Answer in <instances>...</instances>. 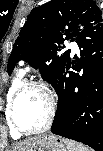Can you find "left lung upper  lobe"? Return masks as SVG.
<instances>
[{
	"label": "left lung upper lobe",
	"instance_id": "5c2ea615",
	"mask_svg": "<svg viewBox=\"0 0 103 151\" xmlns=\"http://www.w3.org/2000/svg\"><path fill=\"white\" fill-rule=\"evenodd\" d=\"M94 26L102 28L103 18L92 0H51L32 9L13 46L9 74L23 59L52 84L70 58V50H64V40L74 41L83 30Z\"/></svg>",
	"mask_w": 103,
	"mask_h": 151
}]
</instances>
